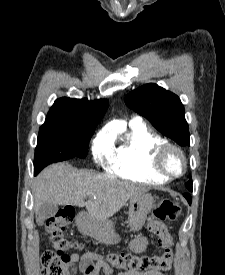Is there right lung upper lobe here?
<instances>
[{"mask_svg":"<svg viewBox=\"0 0 225 275\" xmlns=\"http://www.w3.org/2000/svg\"><path fill=\"white\" fill-rule=\"evenodd\" d=\"M108 108L107 100L57 99L46 116L45 121H67L97 125Z\"/></svg>","mask_w":225,"mask_h":275,"instance_id":"1","label":"right lung upper lobe"}]
</instances>
